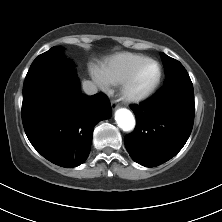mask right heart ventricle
<instances>
[{"label": "right heart ventricle", "instance_id": "e07e8e85", "mask_svg": "<svg viewBox=\"0 0 222 222\" xmlns=\"http://www.w3.org/2000/svg\"><path fill=\"white\" fill-rule=\"evenodd\" d=\"M146 59V56L136 53L116 54L99 67V77L109 85L121 84L130 72Z\"/></svg>", "mask_w": 222, "mask_h": 222}]
</instances>
